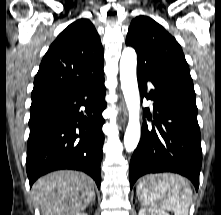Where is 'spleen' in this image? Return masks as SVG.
<instances>
[{"instance_id":"3e777b00","label":"spleen","mask_w":221,"mask_h":215,"mask_svg":"<svg viewBox=\"0 0 221 215\" xmlns=\"http://www.w3.org/2000/svg\"><path fill=\"white\" fill-rule=\"evenodd\" d=\"M146 177L136 188L137 196L143 205L150 209L168 210L175 215H188L192 202L189 182L172 174H163L162 178L158 179Z\"/></svg>"}]
</instances>
